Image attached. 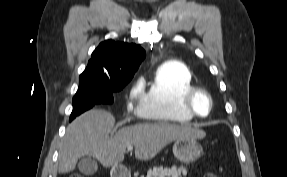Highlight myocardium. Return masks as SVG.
<instances>
[{
	"label": "myocardium",
	"mask_w": 287,
	"mask_h": 177,
	"mask_svg": "<svg viewBox=\"0 0 287 177\" xmlns=\"http://www.w3.org/2000/svg\"><path fill=\"white\" fill-rule=\"evenodd\" d=\"M200 94L205 95L206 98L208 99L209 109L206 115L199 114L194 106V100ZM213 105L214 104H213V98H212L211 93L202 87H193L188 92H186V94L184 95L182 99V106L184 107V109L188 111L192 116L197 117V118L208 117L213 110Z\"/></svg>",
	"instance_id": "f54148a6"
}]
</instances>
